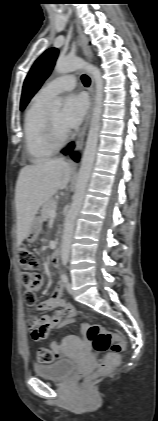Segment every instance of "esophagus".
Segmentation results:
<instances>
[{"mask_svg": "<svg viewBox=\"0 0 158 421\" xmlns=\"http://www.w3.org/2000/svg\"><path fill=\"white\" fill-rule=\"evenodd\" d=\"M76 25H77V32H78V41H79V45L81 47V50H82L86 60L91 62L92 59H93L92 50L88 46L87 38H86L85 34L83 33L81 26L79 25V23H77ZM90 79H91V84H90V87H89L90 108H89V110L86 114L83 126H82L79 134L77 135V138H76V141H75L76 151H81L82 148H83L86 132H87V129L89 127V123H90V119H91V115H92V111H93V106H94V79L91 75H90ZM72 163L75 164L74 161H72Z\"/></svg>", "mask_w": 158, "mask_h": 421, "instance_id": "obj_1", "label": "esophagus"}]
</instances>
